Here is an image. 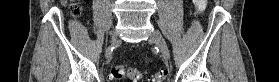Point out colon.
<instances>
[{
	"label": "colon",
	"instance_id": "1",
	"mask_svg": "<svg viewBox=\"0 0 279 82\" xmlns=\"http://www.w3.org/2000/svg\"><path fill=\"white\" fill-rule=\"evenodd\" d=\"M65 3L71 4V14L73 17H78L81 14L80 6L74 1L65 0ZM194 3L199 9H203L207 3V0H194ZM111 74L113 78L117 81H123L130 79L133 82H141L143 80V73L134 67L126 68L124 65H115L111 69ZM166 70H158L156 72L153 82H163L166 78Z\"/></svg>",
	"mask_w": 279,
	"mask_h": 82
}]
</instances>
